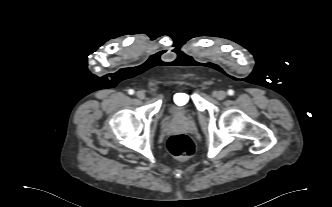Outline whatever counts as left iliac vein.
<instances>
[{
  "label": "left iliac vein",
  "mask_w": 332,
  "mask_h": 207,
  "mask_svg": "<svg viewBox=\"0 0 332 207\" xmlns=\"http://www.w3.org/2000/svg\"><path fill=\"white\" fill-rule=\"evenodd\" d=\"M226 96H227V93L225 91H222V90L217 91V92L214 93V97L218 100H223L224 98H226Z\"/></svg>",
  "instance_id": "left-iliac-vein-1"
}]
</instances>
